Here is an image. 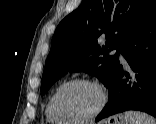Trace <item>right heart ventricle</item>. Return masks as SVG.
I'll return each instance as SVG.
<instances>
[{
  "mask_svg": "<svg viewBox=\"0 0 156 124\" xmlns=\"http://www.w3.org/2000/svg\"><path fill=\"white\" fill-rule=\"evenodd\" d=\"M64 82L60 83L55 89L54 91L50 94L48 100H47V103H46V107H45V116H46V119L49 123H52V124H68V122L62 120L61 118H59L53 108H52V100H53V97L56 93V91L58 90V88L63 84Z\"/></svg>",
  "mask_w": 156,
  "mask_h": 124,
  "instance_id": "e07e8e85",
  "label": "right heart ventricle"
}]
</instances>
